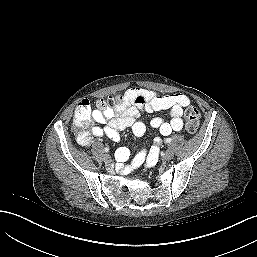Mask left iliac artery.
<instances>
[{
	"label": "left iliac artery",
	"mask_w": 257,
	"mask_h": 257,
	"mask_svg": "<svg viewBox=\"0 0 257 257\" xmlns=\"http://www.w3.org/2000/svg\"><path fill=\"white\" fill-rule=\"evenodd\" d=\"M171 141H172L171 138H166V139H165V143H167V144H168V143H171Z\"/></svg>",
	"instance_id": "left-iliac-artery-1"
}]
</instances>
